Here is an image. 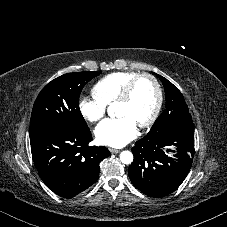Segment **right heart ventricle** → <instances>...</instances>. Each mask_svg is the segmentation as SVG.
I'll return each mask as SVG.
<instances>
[{"mask_svg": "<svg viewBox=\"0 0 227 227\" xmlns=\"http://www.w3.org/2000/svg\"><path fill=\"white\" fill-rule=\"evenodd\" d=\"M136 72H113L101 78L93 87V92L107 106L112 105L121 95L126 84L135 76Z\"/></svg>", "mask_w": 227, "mask_h": 227, "instance_id": "e07e8e85", "label": "right heart ventricle"}]
</instances>
